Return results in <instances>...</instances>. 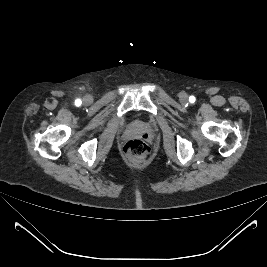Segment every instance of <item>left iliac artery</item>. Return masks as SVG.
I'll return each mask as SVG.
<instances>
[{
    "label": "left iliac artery",
    "mask_w": 267,
    "mask_h": 267,
    "mask_svg": "<svg viewBox=\"0 0 267 267\" xmlns=\"http://www.w3.org/2000/svg\"><path fill=\"white\" fill-rule=\"evenodd\" d=\"M189 101H190L191 103H193V102L195 101V97H194V96H190V97H189Z\"/></svg>",
    "instance_id": "left-iliac-artery-1"
}]
</instances>
